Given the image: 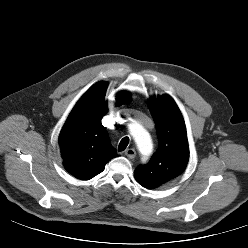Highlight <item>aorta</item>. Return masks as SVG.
<instances>
[{"label":"aorta","mask_w":248,"mask_h":248,"mask_svg":"<svg viewBox=\"0 0 248 248\" xmlns=\"http://www.w3.org/2000/svg\"><path fill=\"white\" fill-rule=\"evenodd\" d=\"M132 135L138 150L143 155H150L153 150V144L149 133L139 124L135 123L130 126Z\"/></svg>","instance_id":"obj_1"}]
</instances>
